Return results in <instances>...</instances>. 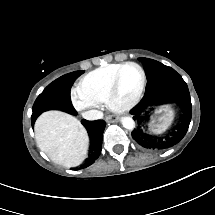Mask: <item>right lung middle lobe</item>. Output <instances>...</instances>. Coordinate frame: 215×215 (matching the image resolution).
<instances>
[{
  "instance_id": "dd1d6c3e",
  "label": "right lung middle lobe",
  "mask_w": 215,
  "mask_h": 215,
  "mask_svg": "<svg viewBox=\"0 0 215 215\" xmlns=\"http://www.w3.org/2000/svg\"><path fill=\"white\" fill-rule=\"evenodd\" d=\"M82 73L83 71L72 72L49 84L36 99L32 108L31 119H37L42 112L51 109H58L76 115L77 112L70 99V90L75 79Z\"/></svg>"
}]
</instances>
